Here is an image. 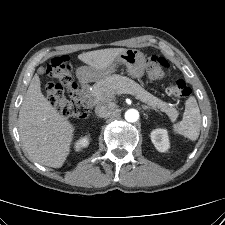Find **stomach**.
<instances>
[{
  "label": "stomach",
  "instance_id": "0dacf381",
  "mask_svg": "<svg viewBox=\"0 0 225 225\" xmlns=\"http://www.w3.org/2000/svg\"><path fill=\"white\" fill-rule=\"evenodd\" d=\"M119 65H124L127 68V72L133 78H141L145 73L146 59L142 52L136 49H126L121 53L113 64L105 70H97L93 67H84L86 76L89 79H97L104 77L114 72Z\"/></svg>",
  "mask_w": 225,
  "mask_h": 225
}]
</instances>
